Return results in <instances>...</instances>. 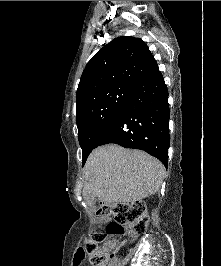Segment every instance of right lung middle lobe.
Wrapping results in <instances>:
<instances>
[{"label": "right lung middle lobe", "instance_id": "obj_1", "mask_svg": "<svg viewBox=\"0 0 221 266\" xmlns=\"http://www.w3.org/2000/svg\"><path fill=\"white\" fill-rule=\"evenodd\" d=\"M135 88L130 85H118L100 89L88 94L78 103L76 121L83 164L96 147L101 134L121 112Z\"/></svg>", "mask_w": 221, "mask_h": 266}]
</instances>
